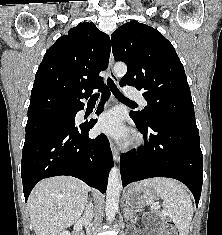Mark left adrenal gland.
<instances>
[{"label": "left adrenal gland", "instance_id": "a2214340", "mask_svg": "<svg viewBox=\"0 0 222 235\" xmlns=\"http://www.w3.org/2000/svg\"><path fill=\"white\" fill-rule=\"evenodd\" d=\"M124 212H125V216H129V215H131V212H130V210H129L128 205H126V206H125V208H124Z\"/></svg>", "mask_w": 222, "mask_h": 235}]
</instances>
